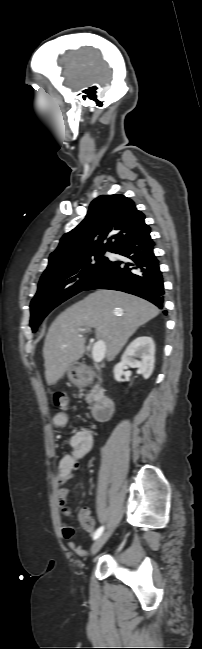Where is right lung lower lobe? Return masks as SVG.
Wrapping results in <instances>:
<instances>
[{
	"instance_id": "obj_1",
	"label": "right lung lower lobe",
	"mask_w": 202,
	"mask_h": 649,
	"mask_svg": "<svg viewBox=\"0 0 202 649\" xmlns=\"http://www.w3.org/2000/svg\"><path fill=\"white\" fill-rule=\"evenodd\" d=\"M153 246L150 228L124 240L111 252L128 260L109 261L84 290H119L142 297L162 309L164 285Z\"/></svg>"
}]
</instances>
